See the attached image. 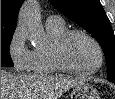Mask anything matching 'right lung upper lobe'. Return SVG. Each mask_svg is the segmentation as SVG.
Listing matches in <instances>:
<instances>
[{
	"mask_svg": "<svg viewBox=\"0 0 115 99\" xmlns=\"http://www.w3.org/2000/svg\"><path fill=\"white\" fill-rule=\"evenodd\" d=\"M23 0H1V31H15Z\"/></svg>",
	"mask_w": 115,
	"mask_h": 99,
	"instance_id": "right-lung-upper-lobe-1",
	"label": "right lung upper lobe"
}]
</instances>
